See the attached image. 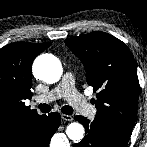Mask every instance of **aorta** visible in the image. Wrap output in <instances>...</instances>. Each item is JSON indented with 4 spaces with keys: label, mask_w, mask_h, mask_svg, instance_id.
<instances>
[{
    "label": "aorta",
    "mask_w": 147,
    "mask_h": 147,
    "mask_svg": "<svg viewBox=\"0 0 147 147\" xmlns=\"http://www.w3.org/2000/svg\"><path fill=\"white\" fill-rule=\"evenodd\" d=\"M63 72L62 65L58 58L51 54L38 56L33 63L34 76L46 83L52 84L61 78ZM66 134L73 141H80L84 136V127L77 122L67 126Z\"/></svg>",
    "instance_id": "aorta-1"
}]
</instances>
